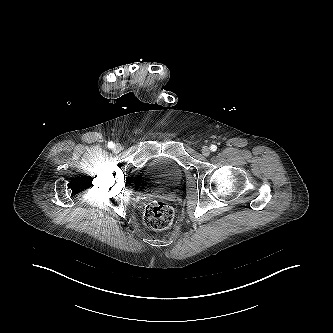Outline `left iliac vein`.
Returning a JSON list of instances; mask_svg holds the SVG:
<instances>
[{
  "label": "left iliac vein",
  "instance_id": "left-iliac-vein-1",
  "mask_svg": "<svg viewBox=\"0 0 333 333\" xmlns=\"http://www.w3.org/2000/svg\"><path fill=\"white\" fill-rule=\"evenodd\" d=\"M201 151H202V154L204 156H209L210 152H211V150H210V148L208 146H203Z\"/></svg>",
  "mask_w": 333,
  "mask_h": 333
}]
</instances>
